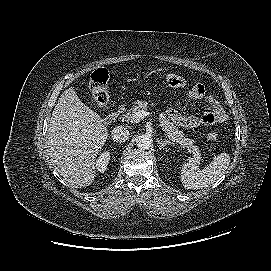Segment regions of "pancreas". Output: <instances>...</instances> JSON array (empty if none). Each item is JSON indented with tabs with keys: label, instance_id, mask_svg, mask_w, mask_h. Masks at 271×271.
I'll list each match as a JSON object with an SVG mask.
<instances>
[{
	"label": "pancreas",
	"instance_id": "pancreas-1",
	"mask_svg": "<svg viewBox=\"0 0 271 271\" xmlns=\"http://www.w3.org/2000/svg\"><path fill=\"white\" fill-rule=\"evenodd\" d=\"M134 106L123 115L125 121H132L133 116L139 110H147L148 103L146 101L137 100L134 102ZM159 122L162 130L172 141V143L177 142L181 145L182 148H187L190 153L193 154L191 158L196 164H200L201 153L198 150V147L193 145V140L184 136L182 131H178L177 127L166 117L164 112L159 114Z\"/></svg>",
	"mask_w": 271,
	"mask_h": 271
}]
</instances>
